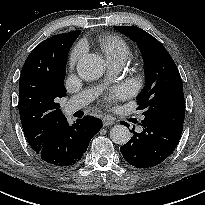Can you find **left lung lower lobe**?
Wrapping results in <instances>:
<instances>
[{
    "label": "left lung lower lobe",
    "mask_w": 205,
    "mask_h": 205,
    "mask_svg": "<svg viewBox=\"0 0 205 205\" xmlns=\"http://www.w3.org/2000/svg\"><path fill=\"white\" fill-rule=\"evenodd\" d=\"M184 117L185 106L160 107L156 113L145 116L140 123L142 131L133 132V137L120 147L124 159L137 168H150L163 162L180 140Z\"/></svg>",
    "instance_id": "left-lung-lower-lobe-1"
}]
</instances>
